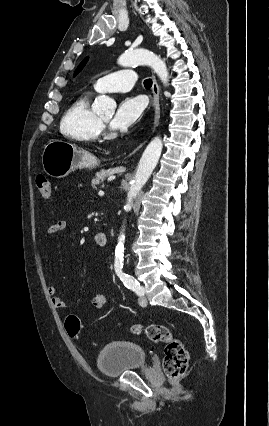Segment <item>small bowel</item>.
Instances as JSON below:
<instances>
[{
  "label": "small bowel",
  "mask_w": 269,
  "mask_h": 426,
  "mask_svg": "<svg viewBox=\"0 0 269 426\" xmlns=\"http://www.w3.org/2000/svg\"><path fill=\"white\" fill-rule=\"evenodd\" d=\"M67 227V224L65 221L59 220L54 222L46 231L47 237L54 236L58 233L63 232ZM47 292L51 297L52 304L55 307V309L59 312L65 311L67 304L66 302L57 295V289L53 285H49L47 287ZM108 299L103 294H96L92 298V305L96 310H102L107 305Z\"/></svg>",
  "instance_id": "1"
}]
</instances>
